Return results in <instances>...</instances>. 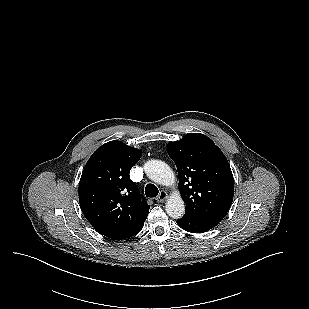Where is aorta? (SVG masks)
Here are the masks:
<instances>
[{
	"instance_id": "obj_1",
	"label": "aorta",
	"mask_w": 309,
	"mask_h": 309,
	"mask_svg": "<svg viewBox=\"0 0 309 309\" xmlns=\"http://www.w3.org/2000/svg\"><path fill=\"white\" fill-rule=\"evenodd\" d=\"M149 179L157 184L170 186L175 183V175L171 168L161 160H149L144 165ZM165 210L173 219L181 218L185 213V204L179 193L173 194L166 202Z\"/></svg>"
}]
</instances>
